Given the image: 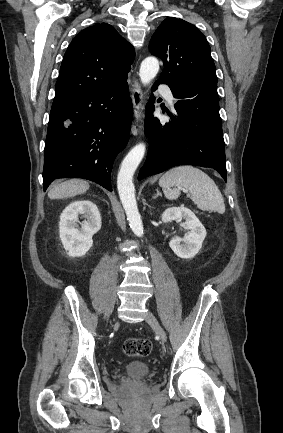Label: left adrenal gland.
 <instances>
[{"mask_svg":"<svg viewBox=\"0 0 283 433\" xmlns=\"http://www.w3.org/2000/svg\"><path fill=\"white\" fill-rule=\"evenodd\" d=\"M157 192L153 198H157V196H162L161 192H159L158 188H156Z\"/></svg>","mask_w":283,"mask_h":433,"instance_id":"obj_1","label":"left adrenal gland"}]
</instances>
